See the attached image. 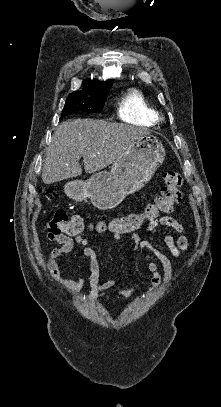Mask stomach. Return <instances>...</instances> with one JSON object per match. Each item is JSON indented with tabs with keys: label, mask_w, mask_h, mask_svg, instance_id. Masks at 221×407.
<instances>
[{
	"label": "stomach",
	"mask_w": 221,
	"mask_h": 407,
	"mask_svg": "<svg viewBox=\"0 0 221 407\" xmlns=\"http://www.w3.org/2000/svg\"><path fill=\"white\" fill-rule=\"evenodd\" d=\"M164 159L162 142L154 135H143L114 161L110 172H97L87 181L72 180L65 185V193L75 201L90 199L101 210L115 208L143 188Z\"/></svg>",
	"instance_id": "0dacf381"
}]
</instances>
